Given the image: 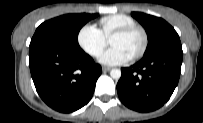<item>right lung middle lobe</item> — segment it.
Here are the masks:
<instances>
[{"instance_id": "1", "label": "right lung middle lobe", "mask_w": 203, "mask_h": 123, "mask_svg": "<svg viewBox=\"0 0 203 123\" xmlns=\"http://www.w3.org/2000/svg\"><path fill=\"white\" fill-rule=\"evenodd\" d=\"M97 14H67L45 21L35 31L31 43L41 42L68 49H80V29Z\"/></svg>"}]
</instances>
